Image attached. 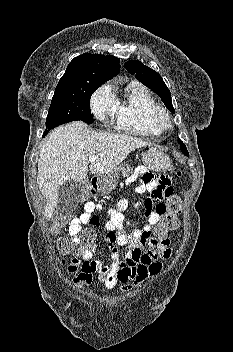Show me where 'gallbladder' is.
Instances as JSON below:
<instances>
[{
  "mask_svg": "<svg viewBox=\"0 0 233 352\" xmlns=\"http://www.w3.org/2000/svg\"><path fill=\"white\" fill-rule=\"evenodd\" d=\"M84 185L78 181H66L58 189L56 210L60 214H70L77 207Z\"/></svg>",
  "mask_w": 233,
  "mask_h": 352,
  "instance_id": "gallbladder-1",
  "label": "gallbladder"
}]
</instances>
